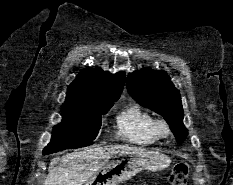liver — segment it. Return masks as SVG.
<instances>
[{
	"label": "liver",
	"instance_id": "liver-1",
	"mask_svg": "<svg viewBox=\"0 0 233 185\" xmlns=\"http://www.w3.org/2000/svg\"><path fill=\"white\" fill-rule=\"evenodd\" d=\"M126 145H110L68 153L51 160L43 185H83Z\"/></svg>",
	"mask_w": 233,
	"mask_h": 185
}]
</instances>
